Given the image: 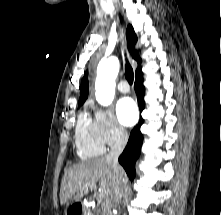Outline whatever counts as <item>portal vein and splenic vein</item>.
<instances>
[{"label":"portal vein and splenic vein","instance_id":"1","mask_svg":"<svg viewBox=\"0 0 221 215\" xmlns=\"http://www.w3.org/2000/svg\"><path fill=\"white\" fill-rule=\"evenodd\" d=\"M93 188H94V187H92V186L90 187V189H93ZM99 198L101 199V197H99Z\"/></svg>","mask_w":221,"mask_h":215}]
</instances>
